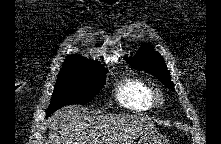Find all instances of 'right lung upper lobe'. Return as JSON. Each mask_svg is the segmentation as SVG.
<instances>
[{
  "instance_id": "obj_1",
  "label": "right lung upper lobe",
  "mask_w": 221,
  "mask_h": 144,
  "mask_svg": "<svg viewBox=\"0 0 221 144\" xmlns=\"http://www.w3.org/2000/svg\"><path fill=\"white\" fill-rule=\"evenodd\" d=\"M97 65L99 64H97L93 60H88L85 57L74 54L66 57L63 67H83V66H97Z\"/></svg>"
}]
</instances>
